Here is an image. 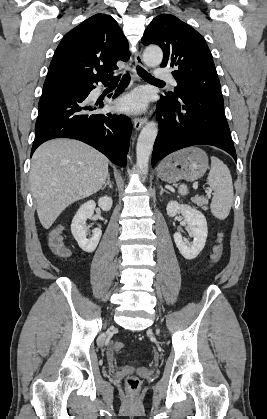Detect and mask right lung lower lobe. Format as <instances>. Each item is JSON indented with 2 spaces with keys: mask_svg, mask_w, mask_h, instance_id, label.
<instances>
[{
  "mask_svg": "<svg viewBox=\"0 0 267 419\" xmlns=\"http://www.w3.org/2000/svg\"><path fill=\"white\" fill-rule=\"evenodd\" d=\"M110 79L101 82L107 84ZM128 81L125 75L113 97L127 87ZM98 82L43 86L31 154L47 140L73 138L96 148L114 164L126 166L132 123L125 115L94 112L98 103L90 104L88 95ZM99 105L102 107L103 102Z\"/></svg>",
  "mask_w": 267,
  "mask_h": 419,
  "instance_id": "obj_1",
  "label": "right lung lower lobe"
}]
</instances>
